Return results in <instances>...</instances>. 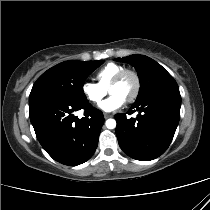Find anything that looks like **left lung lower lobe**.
Listing matches in <instances>:
<instances>
[{
    "label": "left lung lower lobe",
    "instance_id": "1",
    "mask_svg": "<svg viewBox=\"0 0 210 210\" xmlns=\"http://www.w3.org/2000/svg\"><path fill=\"white\" fill-rule=\"evenodd\" d=\"M181 96L178 90L162 91L135 102L127 114L115 115L116 135L121 149L130 157L149 161L169 147L180 119Z\"/></svg>",
    "mask_w": 210,
    "mask_h": 210
}]
</instances>
